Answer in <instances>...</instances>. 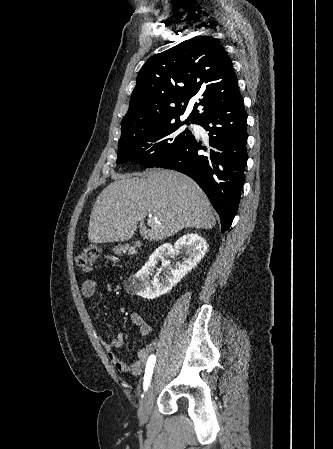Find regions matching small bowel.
Returning <instances> with one entry per match:
<instances>
[{
    "mask_svg": "<svg viewBox=\"0 0 333 449\" xmlns=\"http://www.w3.org/2000/svg\"><path fill=\"white\" fill-rule=\"evenodd\" d=\"M96 290L97 283L95 280L87 279L82 283L81 291L85 297H93L96 293ZM131 322L133 325L138 327L139 333L142 336H148L151 334V326L147 323L145 318L140 313H132ZM123 341L124 335L122 333H118L116 337L111 341L101 340V344L107 353L109 361L118 371L129 373L133 376H139L142 374V371L147 364L149 357L156 351L158 347V340L154 339L147 343L145 347L141 348L137 353V359L131 364H127L115 352L116 348H120L123 345Z\"/></svg>",
    "mask_w": 333,
    "mask_h": 449,
    "instance_id": "c3829d8e",
    "label": "small bowel"
}]
</instances>
